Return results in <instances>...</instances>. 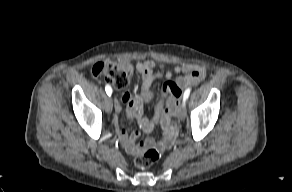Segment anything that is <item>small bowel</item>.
I'll return each mask as SVG.
<instances>
[{
  "label": "small bowel",
  "instance_id": "c3829d8e",
  "mask_svg": "<svg viewBox=\"0 0 292 192\" xmlns=\"http://www.w3.org/2000/svg\"><path fill=\"white\" fill-rule=\"evenodd\" d=\"M136 69L142 78V92L149 91L151 84L155 79L165 78L169 80L172 76V69L163 64H157L154 60H145L138 62ZM173 71L178 74L175 81H167L161 89V98L167 96L168 102L165 111L163 110V101L160 99L155 105V116L153 120L142 117V101L139 97H131L129 93L122 96V103L128 104V115L131 118H138L140 127L146 131H151L155 125H158L162 131V138L159 142L161 150H166L174 141L177 135V129L172 117L178 110V99L181 95V89L186 86L194 85L205 78L206 70L199 64L177 65ZM116 116L114 125L116 133L125 150L132 155L144 152L147 148L154 145V141L148 139L141 143H136L139 138L138 132L128 134L124 128V123L120 117L122 106L116 103Z\"/></svg>",
  "mask_w": 292,
  "mask_h": 192
}]
</instances>
